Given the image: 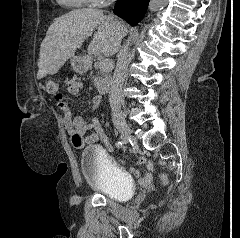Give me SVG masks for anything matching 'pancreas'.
I'll return each mask as SVG.
<instances>
[{
  "instance_id": "1",
  "label": "pancreas",
  "mask_w": 240,
  "mask_h": 238,
  "mask_svg": "<svg viewBox=\"0 0 240 238\" xmlns=\"http://www.w3.org/2000/svg\"><path fill=\"white\" fill-rule=\"evenodd\" d=\"M95 69H99L97 75H93L92 80L95 86L99 87L103 83V77L108 73V69H103L100 65V62H94L93 64Z\"/></svg>"
}]
</instances>
